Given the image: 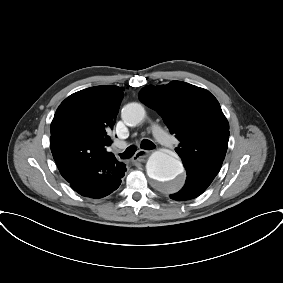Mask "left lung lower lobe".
I'll use <instances>...</instances> for the list:
<instances>
[{"label": "left lung lower lobe", "instance_id": "left-lung-lower-lobe-1", "mask_svg": "<svg viewBox=\"0 0 283 283\" xmlns=\"http://www.w3.org/2000/svg\"><path fill=\"white\" fill-rule=\"evenodd\" d=\"M213 180L193 173H187L184 187L177 193L170 195V198L178 201L190 200L202 194Z\"/></svg>", "mask_w": 283, "mask_h": 283}]
</instances>
